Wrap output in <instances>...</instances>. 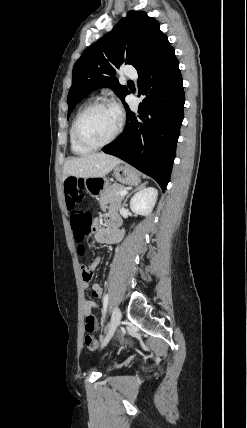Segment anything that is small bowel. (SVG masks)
<instances>
[{
	"label": "small bowel",
	"mask_w": 247,
	"mask_h": 428,
	"mask_svg": "<svg viewBox=\"0 0 247 428\" xmlns=\"http://www.w3.org/2000/svg\"><path fill=\"white\" fill-rule=\"evenodd\" d=\"M94 238L96 239V241L103 243H115L122 238V231L118 228V219L113 212H109L103 217L102 225L96 228ZM100 261L101 257L97 256L91 265L82 267L83 287L88 288L91 286V294L94 298H100L103 293L102 288L98 284L90 285V281L92 279L94 271L98 267ZM98 307L99 305L95 309H97ZM93 310L94 309H88L85 306L84 302L85 319L87 317H90L91 319H96L93 314Z\"/></svg>",
	"instance_id": "small-bowel-1"
}]
</instances>
